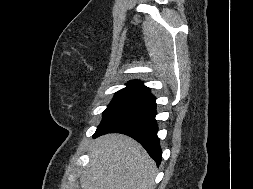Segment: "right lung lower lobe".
Returning a JSON list of instances; mask_svg holds the SVG:
<instances>
[{"label":"right lung lower lobe","mask_w":253,"mask_h":189,"mask_svg":"<svg viewBox=\"0 0 253 189\" xmlns=\"http://www.w3.org/2000/svg\"><path fill=\"white\" fill-rule=\"evenodd\" d=\"M155 97L148 94L105 118L98 126L93 137L107 133L127 134L147 150L157 165L161 162V148L157 137Z\"/></svg>","instance_id":"obj_1"}]
</instances>
